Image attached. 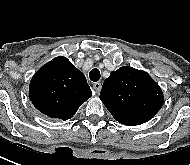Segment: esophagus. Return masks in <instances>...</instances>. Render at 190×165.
<instances>
[{
  "label": "esophagus",
  "mask_w": 190,
  "mask_h": 165,
  "mask_svg": "<svg viewBox=\"0 0 190 165\" xmlns=\"http://www.w3.org/2000/svg\"><path fill=\"white\" fill-rule=\"evenodd\" d=\"M101 83L100 82H96L93 84V89L95 90L96 93H99L101 91Z\"/></svg>",
  "instance_id": "1"
}]
</instances>
